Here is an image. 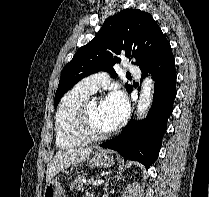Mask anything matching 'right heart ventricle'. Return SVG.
Returning a JSON list of instances; mask_svg holds the SVG:
<instances>
[{
    "instance_id": "obj_1",
    "label": "right heart ventricle",
    "mask_w": 209,
    "mask_h": 197,
    "mask_svg": "<svg viewBox=\"0 0 209 197\" xmlns=\"http://www.w3.org/2000/svg\"><path fill=\"white\" fill-rule=\"evenodd\" d=\"M91 94L90 91L78 84L61 99L55 115V138L59 148L71 149L84 143L74 133L73 119L78 108Z\"/></svg>"
}]
</instances>
